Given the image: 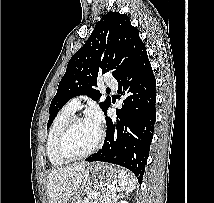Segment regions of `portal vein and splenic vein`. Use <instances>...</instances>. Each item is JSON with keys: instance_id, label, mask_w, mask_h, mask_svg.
Returning <instances> with one entry per match:
<instances>
[{"instance_id": "18ae733b", "label": "portal vein and splenic vein", "mask_w": 214, "mask_h": 203, "mask_svg": "<svg viewBox=\"0 0 214 203\" xmlns=\"http://www.w3.org/2000/svg\"><path fill=\"white\" fill-rule=\"evenodd\" d=\"M115 191H116V190H115L114 188L111 189V192H112L113 194L115 193Z\"/></svg>"}]
</instances>
